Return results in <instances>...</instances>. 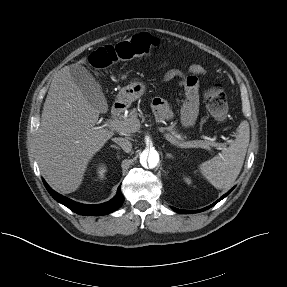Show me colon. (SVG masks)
<instances>
[{
	"label": "colon",
	"instance_id": "obj_1",
	"mask_svg": "<svg viewBox=\"0 0 287 287\" xmlns=\"http://www.w3.org/2000/svg\"><path fill=\"white\" fill-rule=\"evenodd\" d=\"M159 45V40L148 33L136 34L116 44L106 45L90 56V64L96 69H104L116 62L144 56ZM207 108L212 116L223 121L228 115V103L224 90L219 84L213 85L205 93Z\"/></svg>",
	"mask_w": 287,
	"mask_h": 287
}]
</instances>
